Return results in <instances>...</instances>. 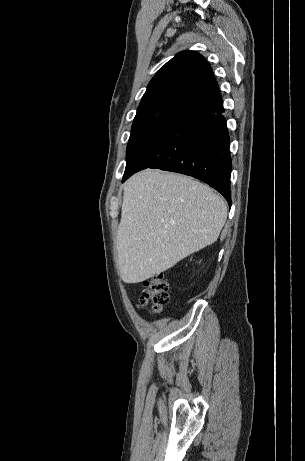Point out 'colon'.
I'll use <instances>...</instances> for the list:
<instances>
[{
	"label": "colon",
	"mask_w": 305,
	"mask_h": 461,
	"mask_svg": "<svg viewBox=\"0 0 305 461\" xmlns=\"http://www.w3.org/2000/svg\"><path fill=\"white\" fill-rule=\"evenodd\" d=\"M140 296L141 307L150 306L154 313L161 312L169 302L168 283L162 274L147 278Z\"/></svg>",
	"instance_id": "obj_1"
}]
</instances>
